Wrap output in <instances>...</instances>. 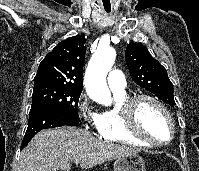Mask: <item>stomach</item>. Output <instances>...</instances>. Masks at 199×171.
Instances as JSON below:
<instances>
[{
  "label": "stomach",
  "instance_id": "1",
  "mask_svg": "<svg viewBox=\"0 0 199 171\" xmlns=\"http://www.w3.org/2000/svg\"><path fill=\"white\" fill-rule=\"evenodd\" d=\"M114 171H145V163L137 154L121 156L114 162Z\"/></svg>",
  "mask_w": 199,
  "mask_h": 171
}]
</instances>
